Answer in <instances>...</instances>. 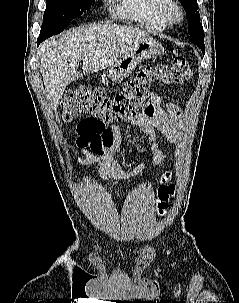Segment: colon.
Listing matches in <instances>:
<instances>
[{"instance_id": "obj_1", "label": "colon", "mask_w": 239, "mask_h": 303, "mask_svg": "<svg viewBox=\"0 0 239 303\" xmlns=\"http://www.w3.org/2000/svg\"><path fill=\"white\" fill-rule=\"evenodd\" d=\"M192 71L185 58L178 57L170 64L142 68L124 89L109 97L99 88L81 87L66 93L63 99V119L71 120L83 114L94 115L96 121L89 125L93 132L101 131L106 123L118 122L135 117L146 101L150 87L155 83L180 85L188 81ZM175 195V187H160L156 206L164 215L168 202Z\"/></svg>"}]
</instances>
